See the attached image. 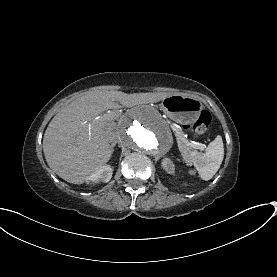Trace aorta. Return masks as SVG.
<instances>
[{"label":"aorta","mask_w":277,"mask_h":277,"mask_svg":"<svg viewBox=\"0 0 277 277\" xmlns=\"http://www.w3.org/2000/svg\"><path fill=\"white\" fill-rule=\"evenodd\" d=\"M119 138L125 148L154 159L163 156L173 144L167 122L146 108L136 109L121 120Z\"/></svg>","instance_id":"obj_1"}]
</instances>
